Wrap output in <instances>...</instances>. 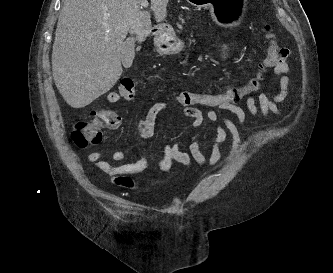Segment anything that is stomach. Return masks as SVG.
Here are the masks:
<instances>
[{"instance_id": "stomach-1", "label": "stomach", "mask_w": 333, "mask_h": 273, "mask_svg": "<svg viewBox=\"0 0 333 273\" xmlns=\"http://www.w3.org/2000/svg\"><path fill=\"white\" fill-rule=\"evenodd\" d=\"M198 8H208L211 12V19L217 23H225V32H242L249 23V16H246L244 4L247 0H187ZM156 50L163 55H171L180 52L184 48V42L175 34L172 28L162 27L154 38Z\"/></svg>"}]
</instances>
